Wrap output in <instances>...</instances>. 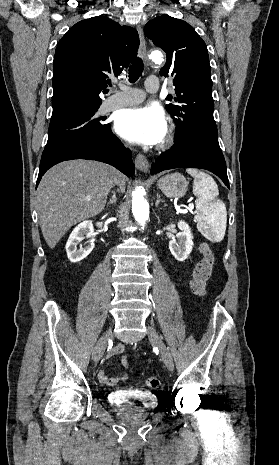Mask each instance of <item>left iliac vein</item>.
<instances>
[{
    "mask_svg": "<svg viewBox=\"0 0 279 465\" xmlns=\"http://www.w3.org/2000/svg\"><path fill=\"white\" fill-rule=\"evenodd\" d=\"M147 333H148V337L150 341L152 342V344L158 348L161 358L165 366L167 367V369L169 371H173L174 363H173L172 356L168 348L164 344L163 340L161 339V337L158 335V333L152 326H147Z\"/></svg>",
    "mask_w": 279,
    "mask_h": 465,
    "instance_id": "1",
    "label": "left iliac vein"
}]
</instances>
